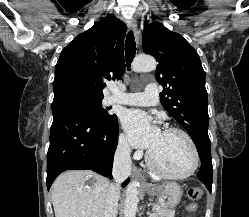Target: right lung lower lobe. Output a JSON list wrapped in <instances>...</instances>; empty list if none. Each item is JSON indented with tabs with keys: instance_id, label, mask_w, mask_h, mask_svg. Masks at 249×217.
I'll use <instances>...</instances> for the list:
<instances>
[{
	"instance_id": "1",
	"label": "right lung lower lobe",
	"mask_w": 249,
	"mask_h": 217,
	"mask_svg": "<svg viewBox=\"0 0 249 217\" xmlns=\"http://www.w3.org/2000/svg\"><path fill=\"white\" fill-rule=\"evenodd\" d=\"M53 123L47 153V189L66 170H92L111 177L118 122L99 124L67 102L52 103ZM127 179L123 186H126Z\"/></svg>"
}]
</instances>
